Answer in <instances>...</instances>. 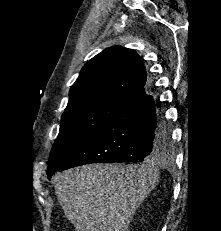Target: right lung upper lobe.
Instances as JSON below:
<instances>
[{
    "label": "right lung upper lobe",
    "instance_id": "cb5924a9",
    "mask_svg": "<svg viewBox=\"0 0 221 231\" xmlns=\"http://www.w3.org/2000/svg\"><path fill=\"white\" fill-rule=\"evenodd\" d=\"M151 89V81L138 54L114 46L103 50L84 65L70 89L67 106L98 96L133 101Z\"/></svg>",
    "mask_w": 221,
    "mask_h": 231
}]
</instances>
